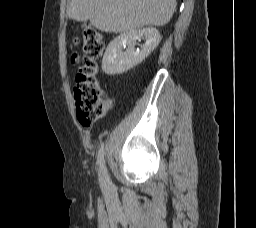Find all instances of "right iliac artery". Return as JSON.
<instances>
[{
	"label": "right iliac artery",
	"instance_id": "82829eb1",
	"mask_svg": "<svg viewBox=\"0 0 256 228\" xmlns=\"http://www.w3.org/2000/svg\"><path fill=\"white\" fill-rule=\"evenodd\" d=\"M97 163L99 165V172L103 176L104 183H109V177L107 173V169L105 166V160H104V150L100 149L97 157Z\"/></svg>",
	"mask_w": 256,
	"mask_h": 228
}]
</instances>
